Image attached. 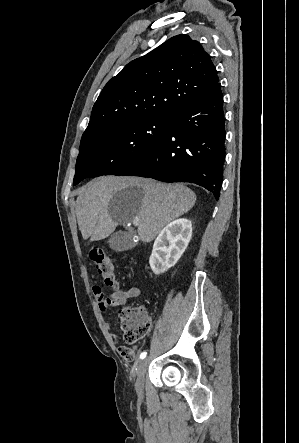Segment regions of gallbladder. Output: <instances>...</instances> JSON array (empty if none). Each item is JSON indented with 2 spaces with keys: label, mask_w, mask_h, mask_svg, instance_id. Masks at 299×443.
I'll return each instance as SVG.
<instances>
[{
  "label": "gallbladder",
  "mask_w": 299,
  "mask_h": 443,
  "mask_svg": "<svg viewBox=\"0 0 299 443\" xmlns=\"http://www.w3.org/2000/svg\"><path fill=\"white\" fill-rule=\"evenodd\" d=\"M133 235L127 231H117L113 233L109 240V246L114 251H126L134 246Z\"/></svg>",
  "instance_id": "gallbladder-1"
}]
</instances>
